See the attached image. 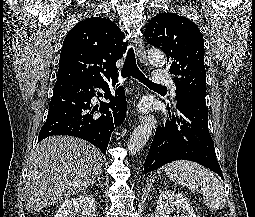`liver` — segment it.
Listing matches in <instances>:
<instances>
[{"instance_id":"6515ba94","label":"liver","mask_w":255,"mask_h":217,"mask_svg":"<svg viewBox=\"0 0 255 217\" xmlns=\"http://www.w3.org/2000/svg\"><path fill=\"white\" fill-rule=\"evenodd\" d=\"M102 171V156L92 144L71 136L42 140L31 154L24 197L37 212L83 192Z\"/></svg>"}]
</instances>
